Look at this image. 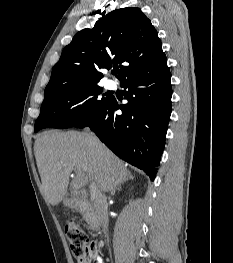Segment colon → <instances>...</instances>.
Instances as JSON below:
<instances>
[{"label": "colon", "instance_id": "5ec220e1", "mask_svg": "<svg viewBox=\"0 0 233 263\" xmlns=\"http://www.w3.org/2000/svg\"><path fill=\"white\" fill-rule=\"evenodd\" d=\"M65 235L73 256L80 263H97V245L79 224L68 222L65 225Z\"/></svg>", "mask_w": 233, "mask_h": 263}]
</instances>
